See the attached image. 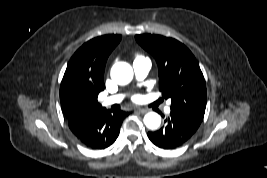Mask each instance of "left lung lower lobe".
<instances>
[{
  "instance_id": "1",
  "label": "left lung lower lobe",
  "mask_w": 267,
  "mask_h": 178,
  "mask_svg": "<svg viewBox=\"0 0 267 178\" xmlns=\"http://www.w3.org/2000/svg\"><path fill=\"white\" fill-rule=\"evenodd\" d=\"M165 123V127L160 130L148 133L150 141L162 149H175L182 146L198 129L175 113H170Z\"/></svg>"
}]
</instances>
